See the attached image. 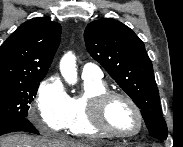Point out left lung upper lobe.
I'll list each match as a JSON object with an SVG mask.
<instances>
[{
    "instance_id": "5c2ea615",
    "label": "left lung upper lobe",
    "mask_w": 183,
    "mask_h": 147,
    "mask_svg": "<svg viewBox=\"0 0 183 147\" xmlns=\"http://www.w3.org/2000/svg\"><path fill=\"white\" fill-rule=\"evenodd\" d=\"M84 38L90 55L141 109L149 133L166 140L168 131L153 66L142 40L129 27L111 18L89 23Z\"/></svg>"
}]
</instances>
